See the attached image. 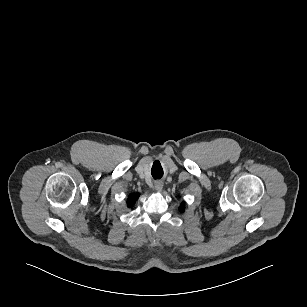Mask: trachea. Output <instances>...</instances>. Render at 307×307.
I'll return each mask as SVG.
<instances>
[{"label":"trachea","instance_id":"1","mask_svg":"<svg viewBox=\"0 0 307 307\" xmlns=\"http://www.w3.org/2000/svg\"><path fill=\"white\" fill-rule=\"evenodd\" d=\"M153 175V177L155 178V179H157V178H160L161 177V174L160 175H155V174H152Z\"/></svg>","mask_w":307,"mask_h":307}]
</instances>
